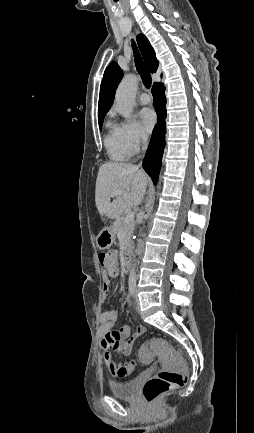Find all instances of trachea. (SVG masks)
Masks as SVG:
<instances>
[{
    "label": "trachea",
    "instance_id": "3493384b",
    "mask_svg": "<svg viewBox=\"0 0 254 433\" xmlns=\"http://www.w3.org/2000/svg\"><path fill=\"white\" fill-rule=\"evenodd\" d=\"M132 48H133V52H134V60H135L136 69H137L139 75L141 76V79H142L144 85L146 87L150 88L151 83H152L151 75L144 64L134 41L132 42Z\"/></svg>",
    "mask_w": 254,
    "mask_h": 433
}]
</instances>
